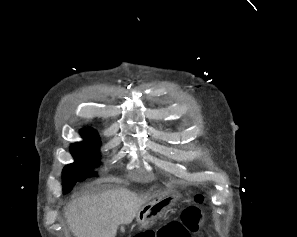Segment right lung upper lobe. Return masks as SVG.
I'll list each match as a JSON object with an SVG mask.
<instances>
[{
	"instance_id": "obj_1",
	"label": "right lung upper lobe",
	"mask_w": 297,
	"mask_h": 237,
	"mask_svg": "<svg viewBox=\"0 0 297 237\" xmlns=\"http://www.w3.org/2000/svg\"><path fill=\"white\" fill-rule=\"evenodd\" d=\"M83 134H87V135H95V131L92 128H85L83 131Z\"/></svg>"
}]
</instances>
